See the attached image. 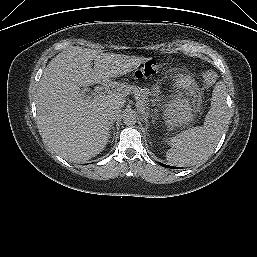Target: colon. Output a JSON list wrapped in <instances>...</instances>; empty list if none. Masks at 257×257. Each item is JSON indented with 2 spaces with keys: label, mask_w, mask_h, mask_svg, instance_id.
Returning <instances> with one entry per match:
<instances>
[{
  "label": "colon",
  "mask_w": 257,
  "mask_h": 257,
  "mask_svg": "<svg viewBox=\"0 0 257 257\" xmlns=\"http://www.w3.org/2000/svg\"><path fill=\"white\" fill-rule=\"evenodd\" d=\"M160 70V65L155 60H150L140 65L133 73L136 79H143L154 76ZM218 81V75L213 71H207L203 75V84L206 88H210Z\"/></svg>",
  "instance_id": "1"
}]
</instances>
